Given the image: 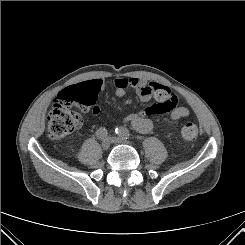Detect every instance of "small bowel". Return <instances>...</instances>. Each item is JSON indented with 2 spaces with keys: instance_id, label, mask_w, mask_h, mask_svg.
I'll return each mask as SVG.
<instances>
[{
  "instance_id": "c3829d8e",
  "label": "small bowel",
  "mask_w": 245,
  "mask_h": 245,
  "mask_svg": "<svg viewBox=\"0 0 245 245\" xmlns=\"http://www.w3.org/2000/svg\"><path fill=\"white\" fill-rule=\"evenodd\" d=\"M99 84L100 91L103 83L99 79L92 80ZM115 95L123 97L128 89L136 91L142 101L154 99L155 104L149 106L144 111L129 114L123 118L124 122H128L140 133H148L153 129V121L151 116L159 114H167L170 120L177 121L189 116L188 108L178 105L177 96L165 85L157 82H150L136 77H120L114 81ZM100 106L95 104L92 107V113L97 115L100 113Z\"/></svg>"
}]
</instances>
